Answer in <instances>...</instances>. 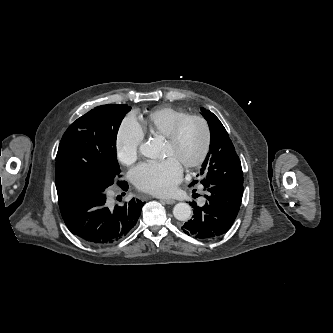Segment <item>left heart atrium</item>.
<instances>
[{"instance_id": "39dd6f15", "label": "left heart atrium", "mask_w": 333, "mask_h": 333, "mask_svg": "<svg viewBox=\"0 0 333 333\" xmlns=\"http://www.w3.org/2000/svg\"><path fill=\"white\" fill-rule=\"evenodd\" d=\"M182 166L172 157L163 161L141 163L130 172L132 183L141 191L165 196L173 192L182 179Z\"/></svg>"}]
</instances>
